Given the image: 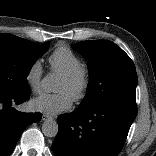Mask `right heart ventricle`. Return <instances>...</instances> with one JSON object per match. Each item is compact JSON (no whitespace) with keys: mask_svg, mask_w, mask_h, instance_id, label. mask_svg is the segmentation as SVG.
I'll return each instance as SVG.
<instances>
[{"mask_svg":"<svg viewBox=\"0 0 156 156\" xmlns=\"http://www.w3.org/2000/svg\"><path fill=\"white\" fill-rule=\"evenodd\" d=\"M51 71L60 75L68 73L82 64L81 59L67 46H59L49 57Z\"/></svg>","mask_w":156,"mask_h":156,"instance_id":"obj_1","label":"right heart ventricle"}]
</instances>
